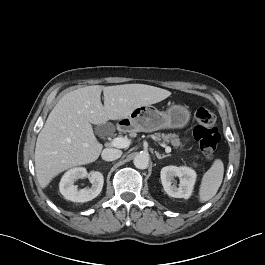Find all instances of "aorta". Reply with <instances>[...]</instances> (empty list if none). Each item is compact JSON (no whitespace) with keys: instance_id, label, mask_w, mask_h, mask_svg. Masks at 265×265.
I'll return each mask as SVG.
<instances>
[{"instance_id":"obj_1","label":"aorta","mask_w":265,"mask_h":265,"mask_svg":"<svg viewBox=\"0 0 265 265\" xmlns=\"http://www.w3.org/2000/svg\"><path fill=\"white\" fill-rule=\"evenodd\" d=\"M133 163L138 169H146L149 164V155L147 153H138L135 156Z\"/></svg>"}]
</instances>
